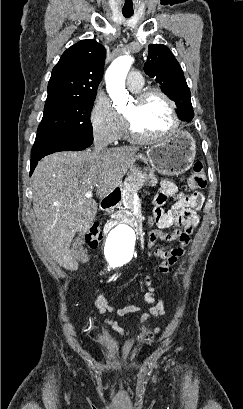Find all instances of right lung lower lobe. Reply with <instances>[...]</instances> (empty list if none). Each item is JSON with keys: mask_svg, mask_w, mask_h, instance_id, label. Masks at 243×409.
I'll return each instance as SVG.
<instances>
[{"mask_svg": "<svg viewBox=\"0 0 243 409\" xmlns=\"http://www.w3.org/2000/svg\"><path fill=\"white\" fill-rule=\"evenodd\" d=\"M93 136L60 137L54 135L38 134L32 148L30 160V175L33 173L38 161L44 156L59 151H78L89 147Z\"/></svg>", "mask_w": 243, "mask_h": 409, "instance_id": "1", "label": "right lung lower lobe"}]
</instances>
